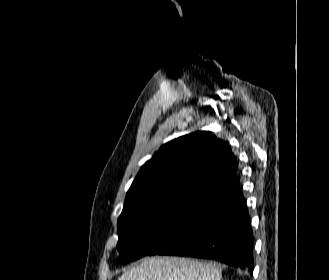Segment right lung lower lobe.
I'll use <instances>...</instances> for the list:
<instances>
[{"label": "right lung lower lobe", "mask_w": 329, "mask_h": 280, "mask_svg": "<svg viewBox=\"0 0 329 280\" xmlns=\"http://www.w3.org/2000/svg\"><path fill=\"white\" fill-rule=\"evenodd\" d=\"M149 255L214 259L252 274L253 234L237 176L217 186Z\"/></svg>", "instance_id": "1"}]
</instances>
